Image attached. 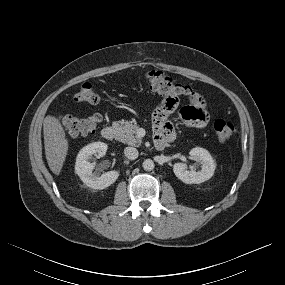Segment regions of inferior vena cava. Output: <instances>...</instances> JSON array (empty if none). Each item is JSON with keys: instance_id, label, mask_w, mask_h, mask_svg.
I'll return each mask as SVG.
<instances>
[{"instance_id": "602c4592", "label": "inferior vena cava", "mask_w": 285, "mask_h": 285, "mask_svg": "<svg viewBox=\"0 0 285 285\" xmlns=\"http://www.w3.org/2000/svg\"><path fill=\"white\" fill-rule=\"evenodd\" d=\"M124 154L129 160H135L138 158V150L134 147H126L124 149Z\"/></svg>"}]
</instances>
